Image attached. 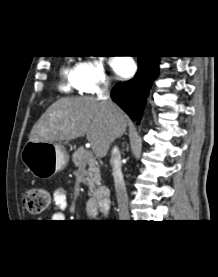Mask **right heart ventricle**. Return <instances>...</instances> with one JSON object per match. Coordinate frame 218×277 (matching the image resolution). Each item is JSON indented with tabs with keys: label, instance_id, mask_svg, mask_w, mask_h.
<instances>
[{
	"label": "right heart ventricle",
	"instance_id": "e07e8e85",
	"mask_svg": "<svg viewBox=\"0 0 218 277\" xmlns=\"http://www.w3.org/2000/svg\"><path fill=\"white\" fill-rule=\"evenodd\" d=\"M61 85L60 89L64 93H72L77 89L75 78L77 75V67H71L69 65H64L61 69Z\"/></svg>",
	"mask_w": 218,
	"mask_h": 277
}]
</instances>
